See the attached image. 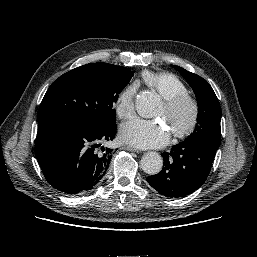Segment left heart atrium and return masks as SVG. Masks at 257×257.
Masks as SVG:
<instances>
[{
    "label": "left heart atrium",
    "instance_id": "left-heart-atrium-1",
    "mask_svg": "<svg viewBox=\"0 0 257 257\" xmlns=\"http://www.w3.org/2000/svg\"><path fill=\"white\" fill-rule=\"evenodd\" d=\"M120 138L141 148L161 147L168 142L169 132L159 121L136 118L121 126Z\"/></svg>",
    "mask_w": 257,
    "mask_h": 257
}]
</instances>
